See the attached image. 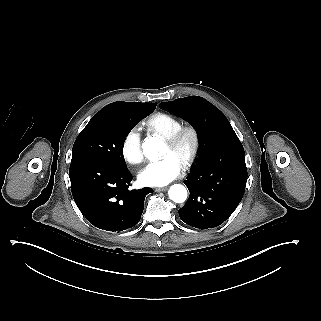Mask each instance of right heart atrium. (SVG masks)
I'll return each mask as SVG.
<instances>
[{
    "label": "right heart atrium",
    "mask_w": 321,
    "mask_h": 321,
    "mask_svg": "<svg viewBox=\"0 0 321 321\" xmlns=\"http://www.w3.org/2000/svg\"><path fill=\"white\" fill-rule=\"evenodd\" d=\"M122 158L130 164H136L143 160L142 136L139 126L131 127L121 140Z\"/></svg>",
    "instance_id": "obj_1"
}]
</instances>
